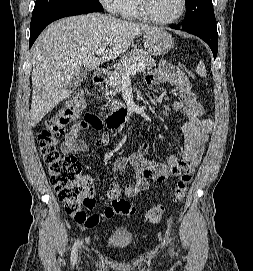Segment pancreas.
<instances>
[{"mask_svg": "<svg viewBox=\"0 0 253 271\" xmlns=\"http://www.w3.org/2000/svg\"><path fill=\"white\" fill-rule=\"evenodd\" d=\"M138 64H142L143 66L141 71H145L146 69L149 70L156 66L155 61L146 51L142 49H134L123 56L118 64L115 65L114 71L110 73L107 86L112 87V91L114 93H119L123 83L124 69ZM107 100L108 102L105 107L108 108L116 109L123 105L121 102H118L115 99L107 98Z\"/></svg>", "mask_w": 253, "mask_h": 271, "instance_id": "cf45deb5", "label": "pancreas"}]
</instances>
